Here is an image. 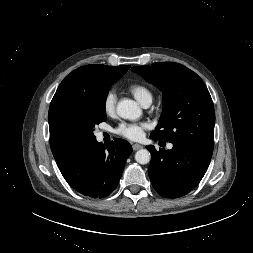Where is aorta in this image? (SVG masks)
Masks as SVG:
<instances>
[{
  "label": "aorta",
  "instance_id": "aorta-1",
  "mask_svg": "<svg viewBox=\"0 0 253 253\" xmlns=\"http://www.w3.org/2000/svg\"><path fill=\"white\" fill-rule=\"evenodd\" d=\"M117 114L123 118L128 120H137L142 111L138 104L130 99H124L118 102L117 107ZM135 160L139 164H147L150 161V152L147 149H140L135 154Z\"/></svg>",
  "mask_w": 253,
  "mask_h": 253
}]
</instances>
